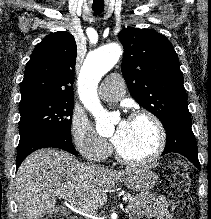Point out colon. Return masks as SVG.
I'll list each match as a JSON object with an SVG mask.
<instances>
[{
	"instance_id": "1",
	"label": "colon",
	"mask_w": 211,
	"mask_h": 219,
	"mask_svg": "<svg viewBox=\"0 0 211 219\" xmlns=\"http://www.w3.org/2000/svg\"><path fill=\"white\" fill-rule=\"evenodd\" d=\"M165 188L171 206L173 219H190L191 209L189 202V167L186 162L177 160L164 173ZM44 219H60L56 216H47ZM70 219V218H66Z\"/></svg>"
}]
</instances>
